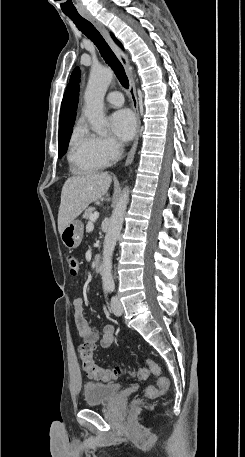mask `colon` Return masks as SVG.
Wrapping results in <instances>:
<instances>
[{"label": "colon", "instance_id": "colon-1", "mask_svg": "<svg viewBox=\"0 0 245 457\" xmlns=\"http://www.w3.org/2000/svg\"><path fill=\"white\" fill-rule=\"evenodd\" d=\"M66 262L69 273L72 277L79 275V263L77 258L73 254L66 255ZM95 347L90 343H83L78 348V356L83 372L94 379L101 380L104 382H110L117 379L121 374L122 370L119 368H102L100 367L94 357ZM151 373L158 376L157 386H149L145 389L146 397H155L161 392H164L169 387V380L161 375V369L158 364L152 360L146 361V366L138 368L134 375L140 381H146L150 377ZM137 400L136 403H139Z\"/></svg>", "mask_w": 245, "mask_h": 457}]
</instances>
